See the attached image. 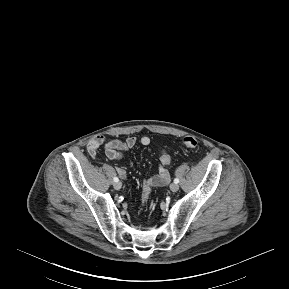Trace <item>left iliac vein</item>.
Returning a JSON list of instances; mask_svg holds the SVG:
<instances>
[{
  "mask_svg": "<svg viewBox=\"0 0 289 289\" xmlns=\"http://www.w3.org/2000/svg\"><path fill=\"white\" fill-rule=\"evenodd\" d=\"M178 189H179V185H178L177 183H172V184L170 185V190H171L172 192H177Z\"/></svg>",
  "mask_w": 289,
  "mask_h": 289,
  "instance_id": "left-iliac-vein-1",
  "label": "left iliac vein"
}]
</instances>
